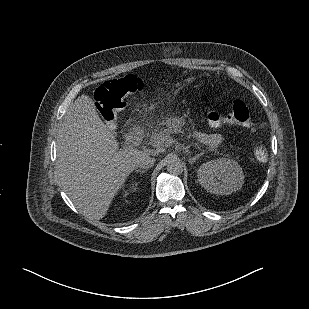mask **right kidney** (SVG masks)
I'll list each match as a JSON object with an SVG mask.
<instances>
[{
	"label": "right kidney",
	"mask_w": 309,
	"mask_h": 309,
	"mask_svg": "<svg viewBox=\"0 0 309 309\" xmlns=\"http://www.w3.org/2000/svg\"><path fill=\"white\" fill-rule=\"evenodd\" d=\"M131 185H132V186H130V188H131V187L133 188V187H134V185H136V184H131Z\"/></svg>",
	"instance_id": "1"
}]
</instances>
